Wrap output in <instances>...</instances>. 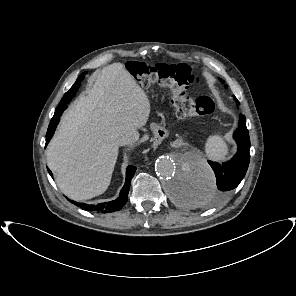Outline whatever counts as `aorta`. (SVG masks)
<instances>
[{"label": "aorta", "mask_w": 296, "mask_h": 296, "mask_svg": "<svg viewBox=\"0 0 296 296\" xmlns=\"http://www.w3.org/2000/svg\"><path fill=\"white\" fill-rule=\"evenodd\" d=\"M155 171L166 181L169 196L182 206L202 207L214 195V172L194 154H184L178 158L161 156L156 160Z\"/></svg>", "instance_id": "obj_1"}]
</instances>
